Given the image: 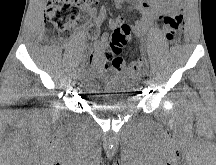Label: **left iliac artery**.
I'll return each instance as SVG.
<instances>
[{"instance_id":"obj_1","label":"left iliac artery","mask_w":216,"mask_h":165,"mask_svg":"<svg viewBox=\"0 0 216 165\" xmlns=\"http://www.w3.org/2000/svg\"><path fill=\"white\" fill-rule=\"evenodd\" d=\"M145 64V68L143 69L145 72H149L150 71V63L146 60L145 62H144Z\"/></svg>"}]
</instances>
